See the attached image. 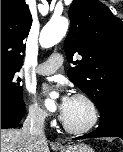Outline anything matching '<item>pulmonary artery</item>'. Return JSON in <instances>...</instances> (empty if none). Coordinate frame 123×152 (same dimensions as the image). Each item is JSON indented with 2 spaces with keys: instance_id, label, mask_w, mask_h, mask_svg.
Returning a JSON list of instances; mask_svg holds the SVG:
<instances>
[{
  "instance_id": "obj_1",
  "label": "pulmonary artery",
  "mask_w": 123,
  "mask_h": 152,
  "mask_svg": "<svg viewBox=\"0 0 123 152\" xmlns=\"http://www.w3.org/2000/svg\"><path fill=\"white\" fill-rule=\"evenodd\" d=\"M63 55L60 53H53L50 55L47 61L39 64L35 71L40 75H50L53 74L62 64Z\"/></svg>"
}]
</instances>
